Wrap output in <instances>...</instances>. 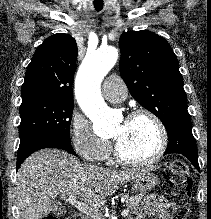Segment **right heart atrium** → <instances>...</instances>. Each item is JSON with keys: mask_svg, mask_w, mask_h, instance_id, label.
Here are the masks:
<instances>
[{"mask_svg": "<svg viewBox=\"0 0 211 219\" xmlns=\"http://www.w3.org/2000/svg\"><path fill=\"white\" fill-rule=\"evenodd\" d=\"M69 134L73 148L87 161L99 162L110 153V143L100 138L90 122L78 113L72 115Z\"/></svg>", "mask_w": 211, "mask_h": 219, "instance_id": "obj_1", "label": "right heart atrium"}]
</instances>
